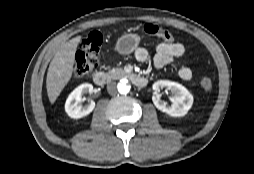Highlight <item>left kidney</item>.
Segmentation results:
<instances>
[{
  "label": "left kidney",
  "instance_id": "5707ae66",
  "mask_svg": "<svg viewBox=\"0 0 254 174\" xmlns=\"http://www.w3.org/2000/svg\"><path fill=\"white\" fill-rule=\"evenodd\" d=\"M160 88H166L172 93L171 105L161 100L158 92ZM155 91L152 100L156 108L170 116L181 117L187 114L193 104L192 94L181 84L172 81L160 80L153 84Z\"/></svg>",
  "mask_w": 254,
  "mask_h": 174
}]
</instances>
